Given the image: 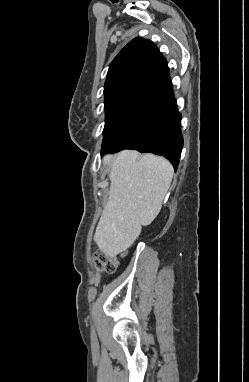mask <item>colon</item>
<instances>
[{
  "label": "colon",
  "instance_id": "5ec220e1",
  "mask_svg": "<svg viewBox=\"0 0 249 382\" xmlns=\"http://www.w3.org/2000/svg\"><path fill=\"white\" fill-rule=\"evenodd\" d=\"M117 265V259L103 251H97L94 255V266L98 270L114 273L117 269Z\"/></svg>",
  "mask_w": 249,
  "mask_h": 382
}]
</instances>
